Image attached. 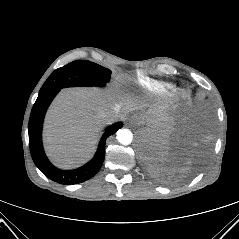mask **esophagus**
<instances>
[{
    "label": "esophagus",
    "mask_w": 239,
    "mask_h": 239,
    "mask_svg": "<svg viewBox=\"0 0 239 239\" xmlns=\"http://www.w3.org/2000/svg\"><path fill=\"white\" fill-rule=\"evenodd\" d=\"M131 123L137 124L141 121V116L139 114H133L130 118Z\"/></svg>",
    "instance_id": "esophagus-1"
}]
</instances>
